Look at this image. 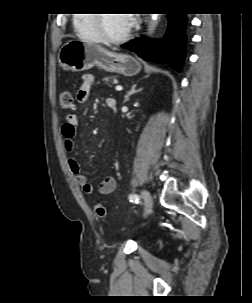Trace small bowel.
Segmentation results:
<instances>
[{"label": "small bowel", "instance_id": "obj_1", "mask_svg": "<svg viewBox=\"0 0 252 303\" xmlns=\"http://www.w3.org/2000/svg\"><path fill=\"white\" fill-rule=\"evenodd\" d=\"M95 82V76L91 73H85L81 78V85L77 91L78 103H85L88 101L90 91ZM115 103L112 97L106 98V104ZM78 131V119L75 114L70 113L66 116L62 125L63 146L68 153H73L75 147L74 138ZM69 170L75 180V182L81 187L82 191L86 195H92L95 192L94 186L88 181L85 174H83L81 166L75 158L70 157L67 161ZM117 183L113 176L105 177L98 186V193L101 195H107L112 193L116 189Z\"/></svg>", "mask_w": 252, "mask_h": 303}]
</instances>
